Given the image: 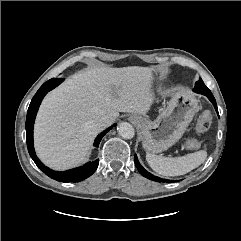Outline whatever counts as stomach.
Listing matches in <instances>:
<instances>
[{
  "label": "stomach",
  "instance_id": "0dacf381",
  "mask_svg": "<svg viewBox=\"0 0 241 241\" xmlns=\"http://www.w3.org/2000/svg\"><path fill=\"white\" fill-rule=\"evenodd\" d=\"M153 73L158 78L162 76L163 70L156 68ZM198 107V100L190 91L177 89L172 92L166 107L154 121L136 116L143 148L154 154L174 145L184 134Z\"/></svg>",
  "mask_w": 241,
  "mask_h": 241
}]
</instances>
